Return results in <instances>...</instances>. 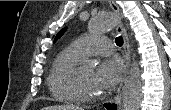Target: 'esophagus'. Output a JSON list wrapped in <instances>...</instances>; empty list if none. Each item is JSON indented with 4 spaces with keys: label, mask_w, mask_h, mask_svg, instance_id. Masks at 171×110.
<instances>
[{
    "label": "esophagus",
    "mask_w": 171,
    "mask_h": 110,
    "mask_svg": "<svg viewBox=\"0 0 171 110\" xmlns=\"http://www.w3.org/2000/svg\"><path fill=\"white\" fill-rule=\"evenodd\" d=\"M110 6L112 7V9L114 10V12L120 16V8L117 5V3L115 1H109ZM117 30L120 31L123 34V38H124V52H125V60H126V68H125V74L123 76V79L120 83V86L116 92V95L114 96L113 100L110 101V107H113L114 105L117 106V109L120 107L121 105V100L123 98L124 95V91H125V78L129 69V65H130V45H129V40H128V36L123 28L122 23H120L117 27Z\"/></svg>",
    "instance_id": "esophagus-1"
}]
</instances>
